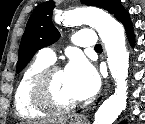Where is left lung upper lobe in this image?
I'll use <instances>...</instances> for the list:
<instances>
[{
  "instance_id": "1",
  "label": "left lung upper lobe",
  "mask_w": 145,
  "mask_h": 124,
  "mask_svg": "<svg viewBox=\"0 0 145 124\" xmlns=\"http://www.w3.org/2000/svg\"><path fill=\"white\" fill-rule=\"evenodd\" d=\"M88 6H96L107 10L117 16L125 10L120 5V0H81ZM54 2L47 1L39 4L31 14L19 47L17 73H20L33 55L41 48L56 42L60 36L52 24Z\"/></svg>"
}]
</instances>
